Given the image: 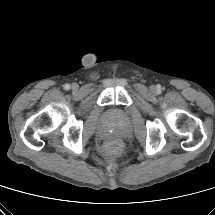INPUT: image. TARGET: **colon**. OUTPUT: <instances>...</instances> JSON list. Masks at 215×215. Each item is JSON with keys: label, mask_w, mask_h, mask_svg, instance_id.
I'll return each instance as SVG.
<instances>
[{"label": "colon", "mask_w": 215, "mask_h": 215, "mask_svg": "<svg viewBox=\"0 0 215 215\" xmlns=\"http://www.w3.org/2000/svg\"><path fill=\"white\" fill-rule=\"evenodd\" d=\"M104 150L108 155H117L122 151V144L119 141H110L106 143Z\"/></svg>", "instance_id": "colon-1"}]
</instances>
